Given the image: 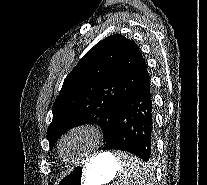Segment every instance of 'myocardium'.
I'll list each match as a JSON object with an SVG mask.
<instances>
[{
    "label": "myocardium",
    "mask_w": 207,
    "mask_h": 185,
    "mask_svg": "<svg viewBox=\"0 0 207 185\" xmlns=\"http://www.w3.org/2000/svg\"><path fill=\"white\" fill-rule=\"evenodd\" d=\"M76 132H85V133H87L92 139V145L86 152H84L79 157H77L75 159H72V160H67L66 158H64V156L62 154V145L68 137H70L72 134H74ZM103 138H104L103 132L95 124L80 123V124L74 125L70 129H68L62 135V137L60 138V140L58 142V145H57L58 155L61 158V160L66 162V163H69V164L79 163V162L84 161L85 159H88L89 157L96 154L97 147L100 144V142L103 140Z\"/></svg>",
    "instance_id": "f54148a6"
}]
</instances>
